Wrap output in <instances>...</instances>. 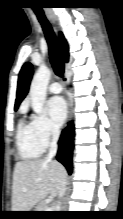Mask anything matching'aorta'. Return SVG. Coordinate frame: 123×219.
Listing matches in <instances>:
<instances>
[{
  "label": "aorta",
  "instance_id": "obj_1",
  "mask_svg": "<svg viewBox=\"0 0 123 219\" xmlns=\"http://www.w3.org/2000/svg\"><path fill=\"white\" fill-rule=\"evenodd\" d=\"M51 78V70L46 66H40L35 73L30 86V99L32 109L40 114L46 100V90Z\"/></svg>",
  "mask_w": 123,
  "mask_h": 219
}]
</instances>
